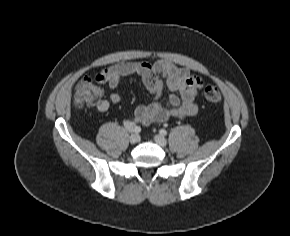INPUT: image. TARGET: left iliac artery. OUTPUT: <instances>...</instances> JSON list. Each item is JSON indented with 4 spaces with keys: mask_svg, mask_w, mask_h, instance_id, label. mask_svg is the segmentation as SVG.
Segmentation results:
<instances>
[{
    "mask_svg": "<svg viewBox=\"0 0 290 236\" xmlns=\"http://www.w3.org/2000/svg\"><path fill=\"white\" fill-rule=\"evenodd\" d=\"M159 132L161 135H167V131L165 129H161Z\"/></svg>",
    "mask_w": 290,
    "mask_h": 236,
    "instance_id": "obj_1",
    "label": "left iliac artery"
}]
</instances>
